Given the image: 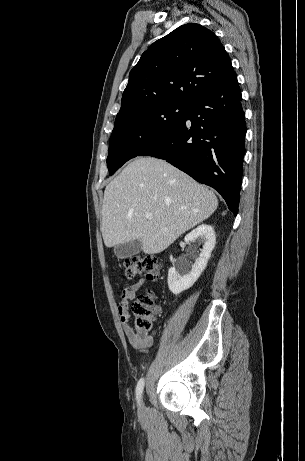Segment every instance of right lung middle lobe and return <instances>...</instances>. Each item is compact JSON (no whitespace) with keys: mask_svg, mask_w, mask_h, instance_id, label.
Wrapping results in <instances>:
<instances>
[{"mask_svg":"<svg viewBox=\"0 0 305 461\" xmlns=\"http://www.w3.org/2000/svg\"><path fill=\"white\" fill-rule=\"evenodd\" d=\"M188 108V103H164L115 121L107 157L110 175L177 129Z\"/></svg>","mask_w":305,"mask_h":461,"instance_id":"right-lung-middle-lobe-1","label":"right lung middle lobe"}]
</instances>
